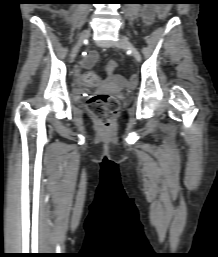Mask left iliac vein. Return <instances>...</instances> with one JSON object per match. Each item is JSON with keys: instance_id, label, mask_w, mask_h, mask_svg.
<instances>
[{"instance_id": "left-iliac-vein-1", "label": "left iliac vein", "mask_w": 218, "mask_h": 257, "mask_svg": "<svg viewBox=\"0 0 218 257\" xmlns=\"http://www.w3.org/2000/svg\"><path fill=\"white\" fill-rule=\"evenodd\" d=\"M115 46L117 48H122V49H129L132 52V55L134 56V58L136 59L137 62L141 61V55L139 53V51L137 50V48L132 45L129 40L127 39V37L125 36H120L119 39L117 40Z\"/></svg>"}]
</instances>
